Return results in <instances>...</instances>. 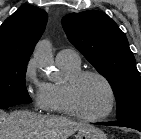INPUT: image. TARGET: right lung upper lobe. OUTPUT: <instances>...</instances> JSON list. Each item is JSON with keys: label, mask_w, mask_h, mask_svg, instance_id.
<instances>
[{"label": "right lung upper lobe", "mask_w": 141, "mask_h": 139, "mask_svg": "<svg viewBox=\"0 0 141 139\" xmlns=\"http://www.w3.org/2000/svg\"><path fill=\"white\" fill-rule=\"evenodd\" d=\"M47 23V13L24 5L0 26V64L28 63Z\"/></svg>", "instance_id": "1"}]
</instances>
